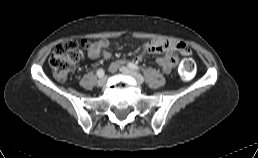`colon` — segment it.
I'll return each mask as SVG.
<instances>
[{
	"label": "colon",
	"mask_w": 258,
	"mask_h": 158,
	"mask_svg": "<svg viewBox=\"0 0 258 158\" xmlns=\"http://www.w3.org/2000/svg\"><path fill=\"white\" fill-rule=\"evenodd\" d=\"M85 41H67L53 51L49 58V65L58 81H65L72 73L80 59L81 48ZM194 63L189 55H185L179 68L181 79L187 81L193 77Z\"/></svg>",
	"instance_id": "5ec220e1"
}]
</instances>
